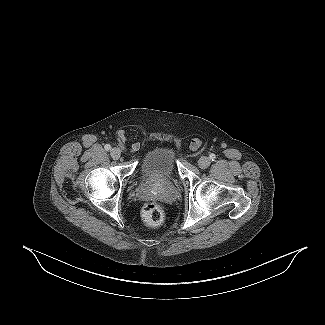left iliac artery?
Listing matches in <instances>:
<instances>
[{
    "label": "left iliac artery",
    "mask_w": 325,
    "mask_h": 325,
    "mask_svg": "<svg viewBox=\"0 0 325 325\" xmlns=\"http://www.w3.org/2000/svg\"><path fill=\"white\" fill-rule=\"evenodd\" d=\"M210 159L212 160V161H214L215 159H216V155L215 154H210Z\"/></svg>",
    "instance_id": "left-iliac-artery-1"
}]
</instances>
